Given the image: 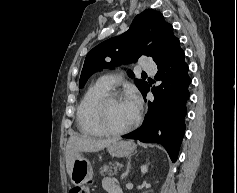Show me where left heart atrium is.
Listing matches in <instances>:
<instances>
[{
	"instance_id": "left-heart-atrium-1",
	"label": "left heart atrium",
	"mask_w": 237,
	"mask_h": 193,
	"mask_svg": "<svg viewBox=\"0 0 237 193\" xmlns=\"http://www.w3.org/2000/svg\"><path fill=\"white\" fill-rule=\"evenodd\" d=\"M128 102L135 111V113L137 114L141 106L140 98L134 94L130 96Z\"/></svg>"
}]
</instances>
